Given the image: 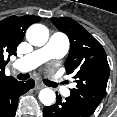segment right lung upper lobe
Wrapping results in <instances>:
<instances>
[{"mask_svg":"<svg viewBox=\"0 0 117 117\" xmlns=\"http://www.w3.org/2000/svg\"><path fill=\"white\" fill-rule=\"evenodd\" d=\"M40 20V17L25 15L10 16L0 21V90L16 80L5 75V65L11 55H16L17 46L22 42L27 28Z\"/></svg>","mask_w":117,"mask_h":117,"instance_id":"right-lung-upper-lobe-1","label":"right lung upper lobe"}]
</instances>
